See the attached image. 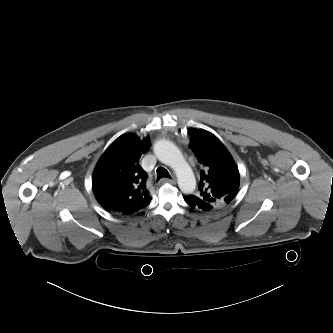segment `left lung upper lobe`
<instances>
[{
	"instance_id": "left-lung-upper-lobe-1",
	"label": "left lung upper lobe",
	"mask_w": 333,
	"mask_h": 333,
	"mask_svg": "<svg viewBox=\"0 0 333 333\" xmlns=\"http://www.w3.org/2000/svg\"><path fill=\"white\" fill-rule=\"evenodd\" d=\"M190 148L202 164L198 199L214 209L226 207L239 189V171L231 155L212 133L190 128ZM191 196V195H190Z\"/></svg>"
}]
</instances>
